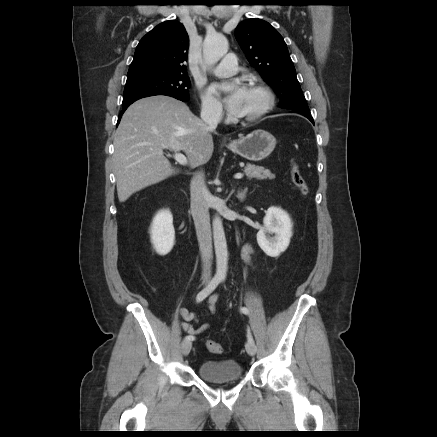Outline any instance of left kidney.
Returning <instances> with one entry per match:
<instances>
[{"instance_id":"5707ae66","label":"left kidney","mask_w":437,"mask_h":437,"mask_svg":"<svg viewBox=\"0 0 437 437\" xmlns=\"http://www.w3.org/2000/svg\"><path fill=\"white\" fill-rule=\"evenodd\" d=\"M293 223L289 215L277 207H270L263 219V227L257 233L260 248L270 257H277L284 252L292 237ZM269 234L275 236L270 237Z\"/></svg>"}]
</instances>
